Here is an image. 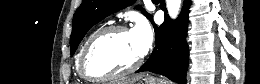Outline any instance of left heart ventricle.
Returning <instances> with one entry per match:
<instances>
[{"label":"left heart ventricle","instance_id":"1","mask_svg":"<svg viewBox=\"0 0 260 84\" xmlns=\"http://www.w3.org/2000/svg\"><path fill=\"white\" fill-rule=\"evenodd\" d=\"M140 56L131 33H111L96 43L89 66L96 74L113 73L130 67Z\"/></svg>","mask_w":260,"mask_h":84}]
</instances>
